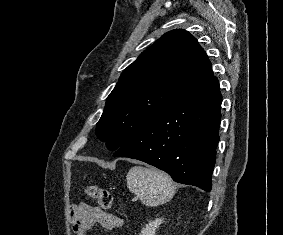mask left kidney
<instances>
[{
    "mask_svg": "<svg viewBox=\"0 0 283 235\" xmlns=\"http://www.w3.org/2000/svg\"><path fill=\"white\" fill-rule=\"evenodd\" d=\"M163 223L162 218H158L153 222L146 225L145 228L141 230L139 235H156V229Z\"/></svg>",
    "mask_w": 283,
    "mask_h": 235,
    "instance_id": "1",
    "label": "left kidney"
}]
</instances>
